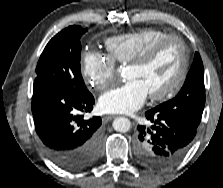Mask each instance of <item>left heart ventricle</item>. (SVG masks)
Wrapping results in <instances>:
<instances>
[{"mask_svg": "<svg viewBox=\"0 0 223 188\" xmlns=\"http://www.w3.org/2000/svg\"><path fill=\"white\" fill-rule=\"evenodd\" d=\"M181 67V49L169 42L144 66L127 67L125 78L139 81L148 94L160 92L174 81Z\"/></svg>", "mask_w": 223, "mask_h": 188, "instance_id": "b2bd125f", "label": "left heart ventricle"}]
</instances>
